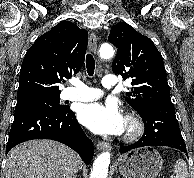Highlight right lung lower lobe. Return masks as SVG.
Instances as JSON below:
<instances>
[{
    "label": "right lung lower lobe",
    "mask_w": 194,
    "mask_h": 178,
    "mask_svg": "<svg viewBox=\"0 0 194 178\" xmlns=\"http://www.w3.org/2000/svg\"><path fill=\"white\" fill-rule=\"evenodd\" d=\"M32 139H52L74 149L86 164L94 155L92 141L85 135L68 107L63 111L43 106H27L15 109L6 153L19 143Z\"/></svg>",
    "instance_id": "right-lung-lower-lobe-1"
}]
</instances>
